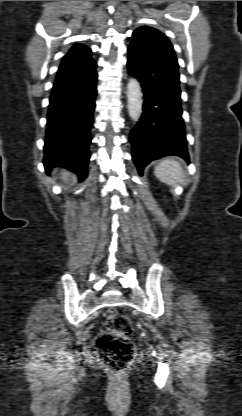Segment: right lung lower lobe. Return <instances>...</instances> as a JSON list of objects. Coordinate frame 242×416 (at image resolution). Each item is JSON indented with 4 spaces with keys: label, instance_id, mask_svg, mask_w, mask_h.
<instances>
[{
    "label": "right lung lower lobe",
    "instance_id": "1",
    "mask_svg": "<svg viewBox=\"0 0 242 416\" xmlns=\"http://www.w3.org/2000/svg\"><path fill=\"white\" fill-rule=\"evenodd\" d=\"M97 74L95 68L83 77L56 79L47 115L44 166L49 173L54 163L87 177L90 159V130L93 124Z\"/></svg>",
    "mask_w": 242,
    "mask_h": 416
}]
</instances>
